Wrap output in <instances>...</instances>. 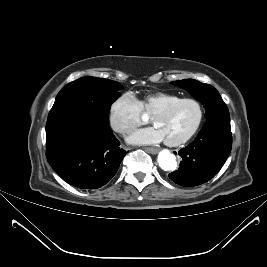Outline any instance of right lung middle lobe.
Returning <instances> with one entry per match:
<instances>
[{
  "label": "right lung middle lobe",
  "instance_id": "obj_1",
  "mask_svg": "<svg viewBox=\"0 0 267 267\" xmlns=\"http://www.w3.org/2000/svg\"><path fill=\"white\" fill-rule=\"evenodd\" d=\"M122 85L97 77L79 78L58 93L48 120L68 111L94 114L109 121L111 104L120 96Z\"/></svg>",
  "mask_w": 267,
  "mask_h": 267
}]
</instances>
